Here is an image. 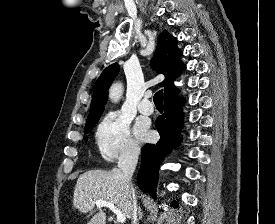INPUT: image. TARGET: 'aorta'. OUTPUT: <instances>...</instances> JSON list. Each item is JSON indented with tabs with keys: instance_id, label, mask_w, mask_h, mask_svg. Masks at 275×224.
I'll list each match as a JSON object with an SVG mask.
<instances>
[{
	"instance_id": "obj_1",
	"label": "aorta",
	"mask_w": 275,
	"mask_h": 224,
	"mask_svg": "<svg viewBox=\"0 0 275 224\" xmlns=\"http://www.w3.org/2000/svg\"><path fill=\"white\" fill-rule=\"evenodd\" d=\"M122 85L120 83L114 84L110 89V99L117 102L122 95Z\"/></svg>"
}]
</instances>
